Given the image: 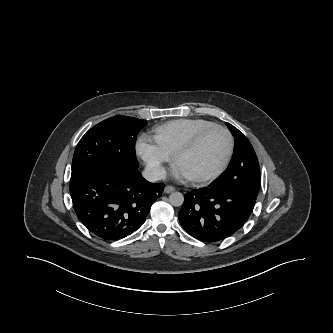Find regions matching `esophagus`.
Returning a JSON list of instances; mask_svg holds the SVG:
<instances>
[{
  "label": "esophagus",
  "mask_w": 333,
  "mask_h": 333,
  "mask_svg": "<svg viewBox=\"0 0 333 333\" xmlns=\"http://www.w3.org/2000/svg\"><path fill=\"white\" fill-rule=\"evenodd\" d=\"M174 190H175V188H174L173 186H171V185H167V186L164 188V192H165L166 194H169V193L173 192Z\"/></svg>",
  "instance_id": "1"
}]
</instances>
